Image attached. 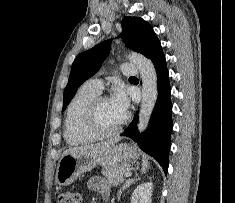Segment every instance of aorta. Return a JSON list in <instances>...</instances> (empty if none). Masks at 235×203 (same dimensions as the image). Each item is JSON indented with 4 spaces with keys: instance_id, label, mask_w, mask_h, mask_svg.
I'll return each instance as SVG.
<instances>
[{
    "instance_id": "aorta-1",
    "label": "aorta",
    "mask_w": 235,
    "mask_h": 203,
    "mask_svg": "<svg viewBox=\"0 0 235 203\" xmlns=\"http://www.w3.org/2000/svg\"><path fill=\"white\" fill-rule=\"evenodd\" d=\"M129 59L138 68L142 79V100L137 127L143 132L149 124L158 98L157 73L152 61L145 56L131 53Z\"/></svg>"
}]
</instances>
